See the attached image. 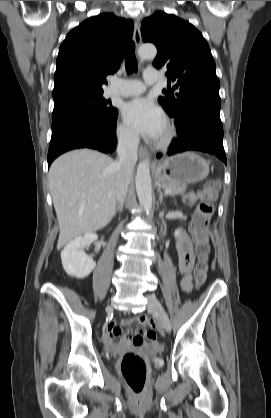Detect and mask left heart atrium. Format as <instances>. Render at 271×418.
I'll return each mask as SVG.
<instances>
[{"label": "left heart atrium", "mask_w": 271, "mask_h": 418, "mask_svg": "<svg viewBox=\"0 0 271 418\" xmlns=\"http://www.w3.org/2000/svg\"><path fill=\"white\" fill-rule=\"evenodd\" d=\"M127 125L138 134L156 139L166 127V118L162 110L147 98H136L123 108Z\"/></svg>", "instance_id": "1"}]
</instances>
